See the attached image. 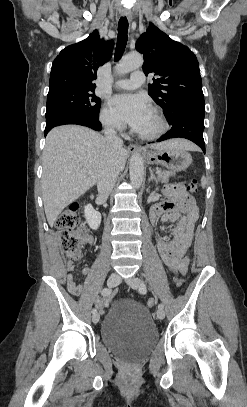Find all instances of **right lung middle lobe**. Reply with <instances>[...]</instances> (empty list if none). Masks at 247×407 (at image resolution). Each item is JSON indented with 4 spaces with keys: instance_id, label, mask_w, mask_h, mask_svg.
I'll return each mask as SVG.
<instances>
[{
    "instance_id": "right-lung-middle-lobe-1",
    "label": "right lung middle lobe",
    "mask_w": 247,
    "mask_h": 407,
    "mask_svg": "<svg viewBox=\"0 0 247 407\" xmlns=\"http://www.w3.org/2000/svg\"><path fill=\"white\" fill-rule=\"evenodd\" d=\"M100 106L94 89H58L47 95L46 119L60 114L99 118Z\"/></svg>"
}]
</instances>
